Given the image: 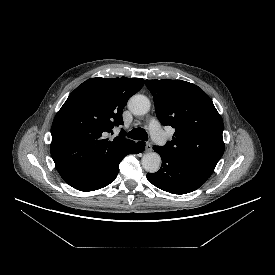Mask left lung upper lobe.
Returning <instances> with one entry per match:
<instances>
[{
    "mask_svg": "<svg viewBox=\"0 0 275 275\" xmlns=\"http://www.w3.org/2000/svg\"><path fill=\"white\" fill-rule=\"evenodd\" d=\"M161 124L175 128L163 147L171 155L211 176L225 149L223 121L211 98L182 80H146Z\"/></svg>",
    "mask_w": 275,
    "mask_h": 275,
    "instance_id": "1",
    "label": "left lung upper lobe"
}]
</instances>
